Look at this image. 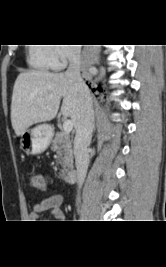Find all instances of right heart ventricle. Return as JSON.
Instances as JSON below:
<instances>
[{
  "label": "right heart ventricle",
  "mask_w": 166,
  "mask_h": 267,
  "mask_svg": "<svg viewBox=\"0 0 166 267\" xmlns=\"http://www.w3.org/2000/svg\"><path fill=\"white\" fill-rule=\"evenodd\" d=\"M26 59L28 66L34 70L46 72L54 68L51 47L47 44H30Z\"/></svg>",
  "instance_id": "obj_1"
}]
</instances>
